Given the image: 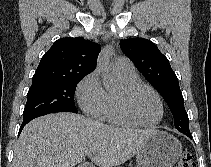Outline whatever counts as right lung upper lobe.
I'll use <instances>...</instances> for the list:
<instances>
[{
    "label": "right lung upper lobe",
    "instance_id": "cb5924a9",
    "mask_svg": "<svg viewBox=\"0 0 211 167\" xmlns=\"http://www.w3.org/2000/svg\"><path fill=\"white\" fill-rule=\"evenodd\" d=\"M99 44L82 37L61 38L41 58L32 83L84 77L96 68Z\"/></svg>",
    "mask_w": 211,
    "mask_h": 167
}]
</instances>
